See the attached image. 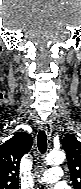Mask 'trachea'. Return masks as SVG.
I'll list each match as a JSON object with an SVG mask.
<instances>
[{
  "label": "trachea",
  "mask_w": 81,
  "mask_h": 189,
  "mask_svg": "<svg viewBox=\"0 0 81 189\" xmlns=\"http://www.w3.org/2000/svg\"><path fill=\"white\" fill-rule=\"evenodd\" d=\"M37 145L39 151L43 154L47 150V137L45 131H39L37 135Z\"/></svg>",
  "instance_id": "3493384b"
}]
</instances>
